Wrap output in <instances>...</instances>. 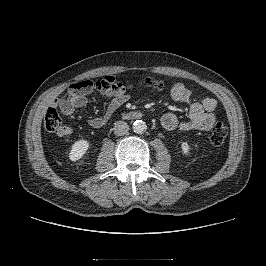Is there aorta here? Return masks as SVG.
I'll use <instances>...</instances> for the list:
<instances>
[{"instance_id":"obj_1","label":"aorta","mask_w":266,"mask_h":266,"mask_svg":"<svg viewBox=\"0 0 266 266\" xmlns=\"http://www.w3.org/2000/svg\"><path fill=\"white\" fill-rule=\"evenodd\" d=\"M147 129V125L144 121L142 120H136L133 123V131L137 134H142L143 132H145Z\"/></svg>"}]
</instances>
